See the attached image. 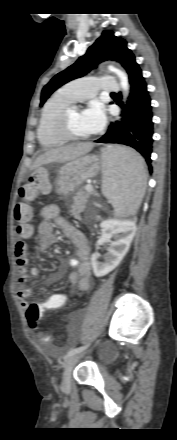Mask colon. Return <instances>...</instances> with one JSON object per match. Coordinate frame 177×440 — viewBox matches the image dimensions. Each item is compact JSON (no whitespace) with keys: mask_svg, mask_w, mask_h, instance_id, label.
I'll return each mask as SVG.
<instances>
[{"mask_svg":"<svg viewBox=\"0 0 177 440\" xmlns=\"http://www.w3.org/2000/svg\"><path fill=\"white\" fill-rule=\"evenodd\" d=\"M50 189L48 175L45 170H40L30 176L25 185L20 188L19 195L22 202L18 203L14 209V218L18 222L17 233L26 235L30 229L28 222L30 219V209L28 203L33 201L39 193H48ZM66 298H43L42 303H32L29 305L25 318L28 320L29 327L35 329L43 311H64L66 308ZM45 338L47 346L52 345L53 350L57 351L61 347V340H52L47 335L39 337Z\"/></svg>","mask_w":177,"mask_h":440,"instance_id":"1","label":"colon"}]
</instances>
